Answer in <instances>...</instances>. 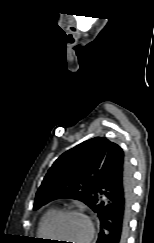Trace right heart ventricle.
<instances>
[{
	"label": "right heart ventricle",
	"instance_id": "1",
	"mask_svg": "<svg viewBox=\"0 0 154 243\" xmlns=\"http://www.w3.org/2000/svg\"><path fill=\"white\" fill-rule=\"evenodd\" d=\"M58 212V209L55 207L49 208L45 211V213L42 215L39 224H38V230L37 234L42 239H48L47 235V226L51 218Z\"/></svg>",
	"mask_w": 154,
	"mask_h": 243
}]
</instances>
